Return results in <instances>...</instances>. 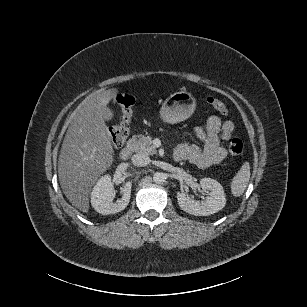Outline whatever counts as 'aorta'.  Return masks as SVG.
Masks as SVG:
<instances>
[{"label": "aorta", "instance_id": "obj_1", "mask_svg": "<svg viewBox=\"0 0 307 307\" xmlns=\"http://www.w3.org/2000/svg\"><path fill=\"white\" fill-rule=\"evenodd\" d=\"M166 178V174L163 172H155L153 175V181L157 184L165 182Z\"/></svg>", "mask_w": 307, "mask_h": 307}]
</instances>
